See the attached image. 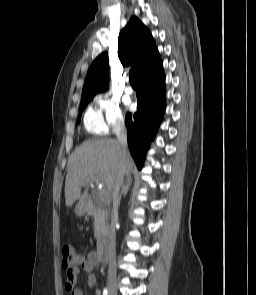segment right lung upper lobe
I'll return each instance as SVG.
<instances>
[{
	"label": "right lung upper lobe",
	"mask_w": 256,
	"mask_h": 295,
	"mask_svg": "<svg viewBox=\"0 0 256 295\" xmlns=\"http://www.w3.org/2000/svg\"><path fill=\"white\" fill-rule=\"evenodd\" d=\"M118 57L123 66L132 65L130 72L136 80L161 62L157 47L149 30L139 19L132 17L122 29L118 40ZM108 88V54H100L88 69L82 98L94 97Z\"/></svg>",
	"instance_id": "cb5924a9"
}]
</instances>
